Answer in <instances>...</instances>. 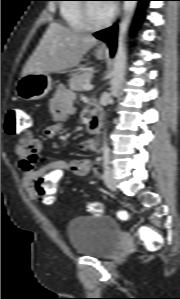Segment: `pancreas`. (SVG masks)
Instances as JSON below:
<instances>
[{"instance_id":"cf45deb5","label":"pancreas","mask_w":180,"mask_h":299,"mask_svg":"<svg viewBox=\"0 0 180 299\" xmlns=\"http://www.w3.org/2000/svg\"><path fill=\"white\" fill-rule=\"evenodd\" d=\"M92 77L93 72H82L77 75H74L69 80V87L73 91H83V86L85 84H89Z\"/></svg>"}]
</instances>
